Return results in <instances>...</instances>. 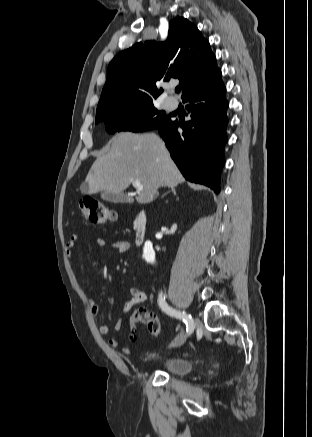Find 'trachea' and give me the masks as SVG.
Wrapping results in <instances>:
<instances>
[{"label": "trachea", "instance_id": "1", "mask_svg": "<svg viewBox=\"0 0 312 437\" xmlns=\"http://www.w3.org/2000/svg\"><path fill=\"white\" fill-rule=\"evenodd\" d=\"M180 90H181V88H180V87H176V88H175V91H176L177 93H179V92H180Z\"/></svg>", "mask_w": 312, "mask_h": 437}]
</instances>
